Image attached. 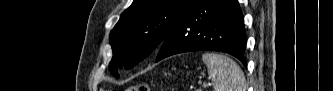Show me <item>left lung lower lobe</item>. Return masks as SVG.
<instances>
[{
    "label": "left lung lower lobe",
    "instance_id": "0a47b994",
    "mask_svg": "<svg viewBox=\"0 0 333 91\" xmlns=\"http://www.w3.org/2000/svg\"><path fill=\"white\" fill-rule=\"evenodd\" d=\"M246 33L237 0H198L159 47L156 62L189 51H219L245 67Z\"/></svg>",
    "mask_w": 333,
    "mask_h": 91
}]
</instances>
